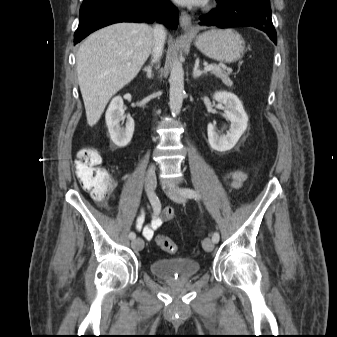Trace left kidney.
Instances as JSON below:
<instances>
[{"mask_svg": "<svg viewBox=\"0 0 337 337\" xmlns=\"http://www.w3.org/2000/svg\"><path fill=\"white\" fill-rule=\"evenodd\" d=\"M213 99L225 105V117L230 121L227 134L219 136L216 127L208 124V141L213 150L226 152L232 149L243 135L248 125V116L239 98L230 92H216Z\"/></svg>", "mask_w": 337, "mask_h": 337, "instance_id": "1", "label": "left kidney"}]
</instances>
